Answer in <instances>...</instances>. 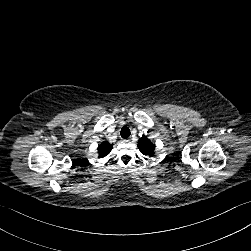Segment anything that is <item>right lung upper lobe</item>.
<instances>
[{"instance_id":"obj_1","label":"right lung upper lobe","mask_w":251,"mask_h":251,"mask_svg":"<svg viewBox=\"0 0 251 251\" xmlns=\"http://www.w3.org/2000/svg\"><path fill=\"white\" fill-rule=\"evenodd\" d=\"M112 150V145L108 142L104 141L101 145L98 147V157L104 158L106 157L110 151Z\"/></svg>"}]
</instances>
